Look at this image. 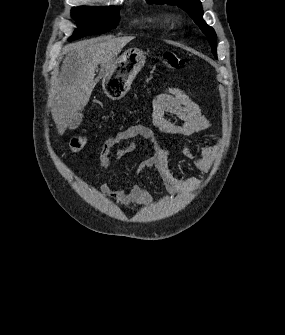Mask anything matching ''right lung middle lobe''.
Listing matches in <instances>:
<instances>
[{"mask_svg":"<svg viewBox=\"0 0 285 335\" xmlns=\"http://www.w3.org/2000/svg\"><path fill=\"white\" fill-rule=\"evenodd\" d=\"M72 17L79 25L69 41L88 35L103 34L117 27L119 22L118 9L115 7L79 6L72 9Z\"/></svg>","mask_w":285,"mask_h":335,"instance_id":"obj_1","label":"right lung middle lobe"}]
</instances>
